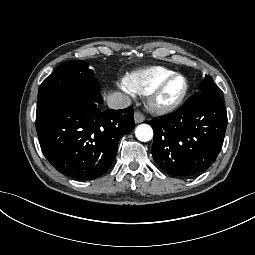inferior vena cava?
<instances>
[{
  "label": "inferior vena cava",
  "instance_id": "1",
  "mask_svg": "<svg viewBox=\"0 0 255 255\" xmlns=\"http://www.w3.org/2000/svg\"><path fill=\"white\" fill-rule=\"evenodd\" d=\"M108 107L113 110L125 109L131 105L128 96L120 92H114L107 98Z\"/></svg>",
  "mask_w": 255,
  "mask_h": 255
}]
</instances>
